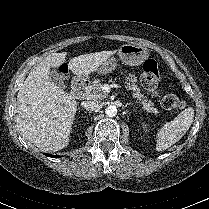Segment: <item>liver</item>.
Wrapping results in <instances>:
<instances>
[{"label":"liver","instance_id":"6515ba94","mask_svg":"<svg viewBox=\"0 0 209 209\" xmlns=\"http://www.w3.org/2000/svg\"><path fill=\"white\" fill-rule=\"evenodd\" d=\"M115 53L101 51L74 57L69 69L77 77H87ZM66 55H48L30 71L17 95L16 125L23 138L42 151H58L70 141L77 102L49 77L50 68L65 63Z\"/></svg>","mask_w":209,"mask_h":209}]
</instances>
